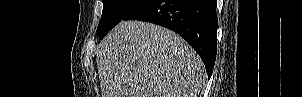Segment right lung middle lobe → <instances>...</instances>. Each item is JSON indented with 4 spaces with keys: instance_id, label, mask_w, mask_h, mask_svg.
Returning a JSON list of instances; mask_svg holds the SVG:
<instances>
[{
    "instance_id": "obj_1",
    "label": "right lung middle lobe",
    "mask_w": 302,
    "mask_h": 97,
    "mask_svg": "<svg viewBox=\"0 0 302 97\" xmlns=\"http://www.w3.org/2000/svg\"><path fill=\"white\" fill-rule=\"evenodd\" d=\"M143 0H103V13L97 28L102 39L115 25Z\"/></svg>"
}]
</instances>
